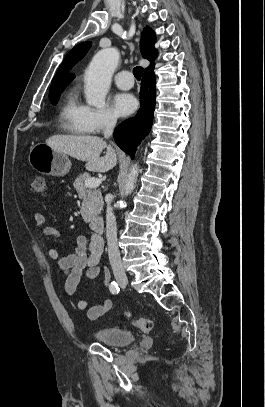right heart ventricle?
Masks as SVG:
<instances>
[{
	"label": "right heart ventricle",
	"instance_id": "1",
	"mask_svg": "<svg viewBox=\"0 0 265 407\" xmlns=\"http://www.w3.org/2000/svg\"><path fill=\"white\" fill-rule=\"evenodd\" d=\"M61 128L75 135H88L91 132L85 121V106L82 105L74 90H70L59 110Z\"/></svg>",
	"mask_w": 265,
	"mask_h": 407
}]
</instances>
